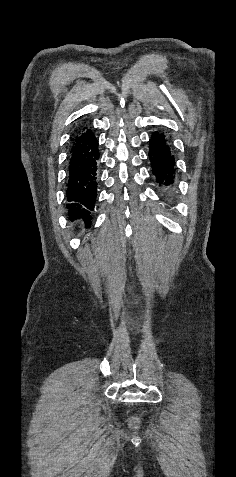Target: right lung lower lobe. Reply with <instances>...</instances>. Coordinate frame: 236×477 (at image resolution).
<instances>
[{"label":"right lung lower lobe","instance_id":"98d812e1","mask_svg":"<svg viewBox=\"0 0 236 477\" xmlns=\"http://www.w3.org/2000/svg\"><path fill=\"white\" fill-rule=\"evenodd\" d=\"M98 141L87 127L79 128L72 138L69 176L66 188L67 208L77 218L91 220L97 190Z\"/></svg>","mask_w":236,"mask_h":477}]
</instances>
